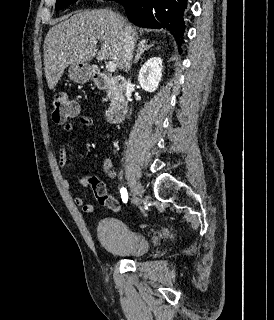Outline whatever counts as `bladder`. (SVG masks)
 Listing matches in <instances>:
<instances>
[{"label":"bladder","mask_w":274,"mask_h":320,"mask_svg":"<svg viewBox=\"0 0 274 320\" xmlns=\"http://www.w3.org/2000/svg\"><path fill=\"white\" fill-rule=\"evenodd\" d=\"M97 236L102 246L116 257L137 259L146 255L151 243L141 231L117 218H105L97 225Z\"/></svg>","instance_id":"31cf9c89"}]
</instances>
